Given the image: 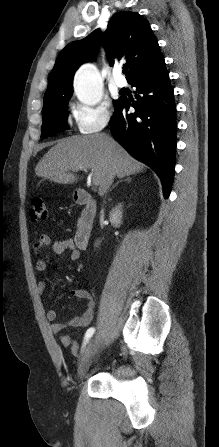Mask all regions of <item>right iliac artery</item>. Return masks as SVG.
<instances>
[{
	"label": "right iliac artery",
	"instance_id": "82829eb1",
	"mask_svg": "<svg viewBox=\"0 0 219 447\" xmlns=\"http://www.w3.org/2000/svg\"><path fill=\"white\" fill-rule=\"evenodd\" d=\"M94 332H95V328H94V327H91V328H89V329L86 331V333H85V337H84V342H83V345H82V352L84 351V348H85L87 342H88L89 339L93 336Z\"/></svg>",
	"mask_w": 219,
	"mask_h": 447
}]
</instances>
